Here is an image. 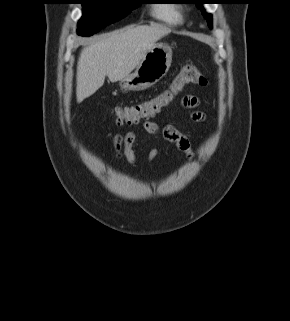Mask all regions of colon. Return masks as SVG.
<instances>
[{
	"label": "colon",
	"instance_id": "1",
	"mask_svg": "<svg viewBox=\"0 0 290 321\" xmlns=\"http://www.w3.org/2000/svg\"><path fill=\"white\" fill-rule=\"evenodd\" d=\"M187 85L206 86L207 79L197 67L185 66L171 85L157 96L131 106H117L113 108L112 113L115 123L118 125H134L141 120L155 117L162 109L169 106Z\"/></svg>",
	"mask_w": 290,
	"mask_h": 321
}]
</instances>
